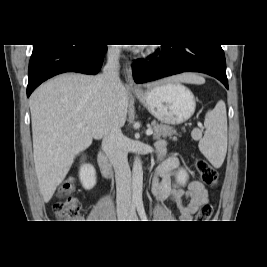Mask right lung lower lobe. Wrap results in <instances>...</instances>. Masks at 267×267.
Masks as SVG:
<instances>
[{"label":"right lung lower lobe","mask_w":267,"mask_h":267,"mask_svg":"<svg viewBox=\"0 0 267 267\" xmlns=\"http://www.w3.org/2000/svg\"><path fill=\"white\" fill-rule=\"evenodd\" d=\"M107 45H33L29 62L27 97L45 80L65 72L97 74Z\"/></svg>","instance_id":"98d812e1"}]
</instances>
